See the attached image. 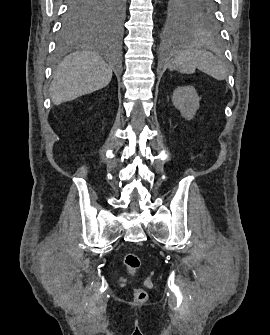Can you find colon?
Returning a JSON list of instances; mask_svg holds the SVG:
<instances>
[{"instance_id":"5ec220e1","label":"colon","mask_w":270,"mask_h":335,"mask_svg":"<svg viewBox=\"0 0 270 335\" xmlns=\"http://www.w3.org/2000/svg\"><path fill=\"white\" fill-rule=\"evenodd\" d=\"M122 260L128 275L132 277L138 276L142 264L140 255L135 252H127ZM133 296L138 301H144L147 299L148 293L144 288L135 286L133 288Z\"/></svg>"}]
</instances>
